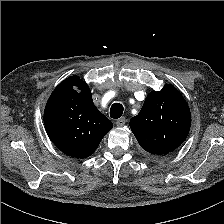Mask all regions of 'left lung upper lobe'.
<instances>
[{
    "mask_svg": "<svg viewBox=\"0 0 224 224\" xmlns=\"http://www.w3.org/2000/svg\"><path fill=\"white\" fill-rule=\"evenodd\" d=\"M191 114L182 94L166 84L161 91H151L130 127L140 146L155 155L177 149L186 139Z\"/></svg>",
    "mask_w": 224,
    "mask_h": 224,
    "instance_id": "left-lung-upper-lobe-1",
    "label": "left lung upper lobe"
}]
</instances>
